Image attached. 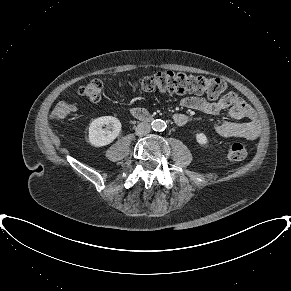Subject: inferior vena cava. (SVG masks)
<instances>
[{
  "mask_svg": "<svg viewBox=\"0 0 291 291\" xmlns=\"http://www.w3.org/2000/svg\"><path fill=\"white\" fill-rule=\"evenodd\" d=\"M151 130V126L149 123L147 122H141L137 125L136 129H135V133L138 136H144L146 134H148Z\"/></svg>",
  "mask_w": 291,
  "mask_h": 291,
  "instance_id": "inferior-vena-cava-1",
  "label": "inferior vena cava"
}]
</instances>
